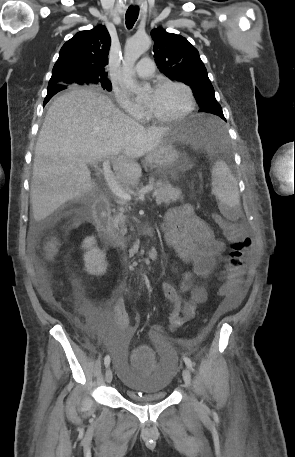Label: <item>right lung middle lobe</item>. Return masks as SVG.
<instances>
[{
	"label": "right lung middle lobe",
	"instance_id": "1",
	"mask_svg": "<svg viewBox=\"0 0 295 457\" xmlns=\"http://www.w3.org/2000/svg\"><path fill=\"white\" fill-rule=\"evenodd\" d=\"M88 84H92V85L98 84L99 86H101L102 88H104L108 91L112 90V85L109 80L92 79L90 81V83H88Z\"/></svg>",
	"mask_w": 295,
	"mask_h": 457
}]
</instances>
